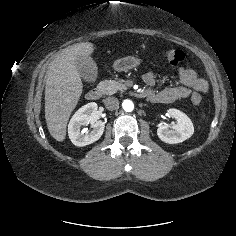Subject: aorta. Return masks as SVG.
<instances>
[{
    "instance_id": "762f6f07",
    "label": "aorta",
    "mask_w": 236,
    "mask_h": 236,
    "mask_svg": "<svg viewBox=\"0 0 236 236\" xmlns=\"http://www.w3.org/2000/svg\"><path fill=\"white\" fill-rule=\"evenodd\" d=\"M122 107L126 112H131L134 109V104L131 100L126 99L123 101Z\"/></svg>"
}]
</instances>
